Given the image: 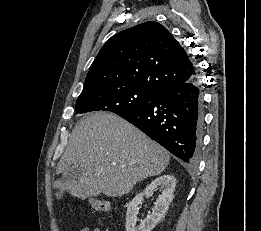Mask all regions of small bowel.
Segmentation results:
<instances>
[{"label":"small bowel","mask_w":261,"mask_h":231,"mask_svg":"<svg viewBox=\"0 0 261 231\" xmlns=\"http://www.w3.org/2000/svg\"><path fill=\"white\" fill-rule=\"evenodd\" d=\"M81 231H101V230L97 227H84L81 229Z\"/></svg>","instance_id":"obj_1"}]
</instances>
